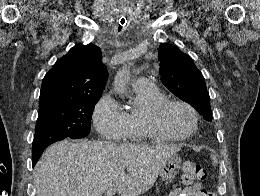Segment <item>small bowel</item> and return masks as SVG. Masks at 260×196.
<instances>
[{"mask_svg":"<svg viewBox=\"0 0 260 196\" xmlns=\"http://www.w3.org/2000/svg\"><path fill=\"white\" fill-rule=\"evenodd\" d=\"M168 196H208V192L203 188L200 182H195L184 188L173 189Z\"/></svg>","mask_w":260,"mask_h":196,"instance_id":"1","label":"small bowel"}]
</instances>
